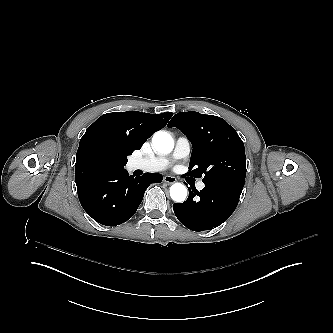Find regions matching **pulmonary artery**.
Segmentation results:
<instances>
[{"instance_id":"obj_1","label":"pulmonary artery","mask_w":333,"mask_h":333,"mask_svg":"<svg viewBox=\"0 0 333 333\" xmlns=\"http://www.w3.org/2000/svg\"><path fill=\"white\" fill-rule=\"evenodd\" d=\"M191 153V144L187 137L180 136L177 138L174 150L166 156H155L144 160V169L148 171L166 170L176 161L189 157ZM204 183L200 180L197 183V188L201 190Z\"/></svg>"}]
</instances>
